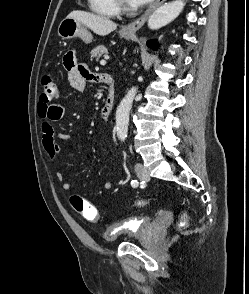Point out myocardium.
Listing matches in <instances>:
<instances>
[{"label":"myocardium","instance_id":"1","mask_svg":"<svg viewBox=\"0 0 249 294\" xmlns=\"http://www.w3.org/2000/svg\"><path fill=\"white\" fill-rule=\"evenodd\" d=\"M119 9L125 12H132L135 10L134 6L127 2V0H115Z\"/></svg>","mask_w":249,"mask_h":294}]
</instances>
